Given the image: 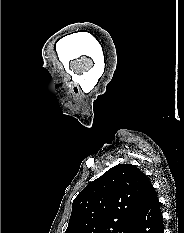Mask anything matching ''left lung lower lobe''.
<instances>
[{"mask_svg":"<svg viewBox=\"0 0 184 233\" xmlns=\"http://www.w3.org/2000/svg\"><path fill=\"white\" fill-rule=\"evenodd\" d=\"M131 233H164L162 212L155 191Z\"/></svg>","mask_w":184,"mask_h":233,"instance_id":"0a47b994","label":"left lung lower lobe"}]
</instances>
